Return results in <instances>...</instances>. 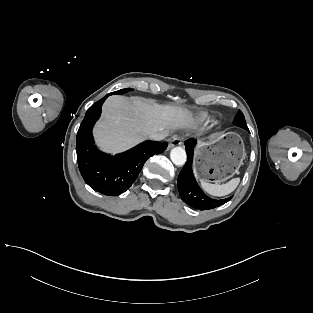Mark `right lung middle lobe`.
<instances>
[{"label":"right lung middle lobe","instance_id":"obj_1","mask_svg":"<svg viewBox=\"0 0 313 313\" xmlns=\"http://www.w3.org/2000/svg\"><path fill=\"white\" fill-rule=\"evenodd\" d=\"M130 90H131V89H121V90L112 92V93H110L109 95H112V94H119V95H121V94H124V93H126V92H128V91H130Z\"/></svg>","mask_w":313,"mask_h":313}]
</instances>
